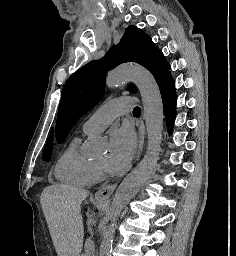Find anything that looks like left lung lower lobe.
Returning <instances> with one entry per match:
<instances>
[{
	"instance_id": "obj_1",
	"label": "left lung lower lobe",
	"mask_w": 236,
	"mask_h": 256,
	"mask_svg": "<svg viewBox=\"0 0 236 256\" xmlns=\"http://www.w3.org/2000/svg\"><path fill=\"white\" fill-rule=\"evenodd\" d=\"M163 101V106L166 114V123L168 130L171 131L174 118H175V109H176V95L174 81L171 77L170 72L165 74L157 82Z\"/></svg>"
}]
</instances>
